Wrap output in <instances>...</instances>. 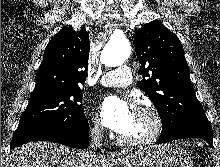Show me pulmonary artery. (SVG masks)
<instances>
[{
	"mask_svg": "<svg viewBox=\"0 0 220 167\" xmlns=\"http://www.w3.org/2000/svg\"><path fill=\"white\" fill-rule=\"evenodd\" d=\"M131 70L128 66H121L117 69L104 73L99 80L103 86L127 87L131 84Z\"/></svg>",
	"mask_w": 220,
	"mask_h": 167,
	"instance_id": "obj_1",
	"label": "pulmonary artery"
}]
</instances>
